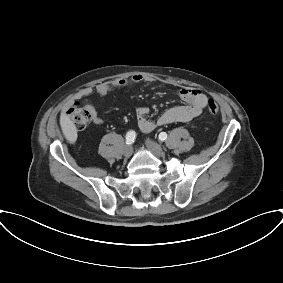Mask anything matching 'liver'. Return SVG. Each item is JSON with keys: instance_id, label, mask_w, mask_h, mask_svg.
Returning a JSON list of instances; mask_svg holds the SVG:
<instances>
[{"instance_id": "6515ba94", "label": "liver", "mask_w": 283, "mask_h": 283, "mask_svg": "<svg viewBox=\"0 0 283 283\" xmlns=\"http://www.w3.org/2000/svg\"><path fill=\"white\" fill-rule=\"evenodd\" d=\"M60 125L65 138L70 143H74L77 139V129L71 119L64 113H61Z\"/></svg>"}]
</instances>
